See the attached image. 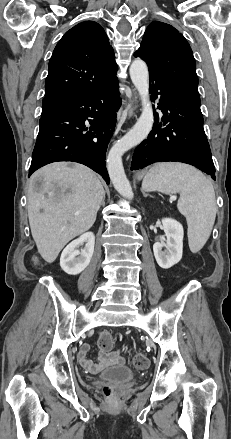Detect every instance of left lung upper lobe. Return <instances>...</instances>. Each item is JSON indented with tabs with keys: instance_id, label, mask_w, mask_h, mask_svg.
Returning a JSON list of instances; mask_svg holds the SVG:
<instances>
[{
	"instance_id": "1",
	"label": "left lung upper lobe",
	"mask_w": 231,
	"mask_h": 439,
	"mask_svg": "<svg viewBox=\"0 0 231 439\" xmlns=\"http://www.w3.org/2000/svg\"><path fill=\"white\" fill-rule=\"evenodd\" d=\"M134 56L147 63L149 72L200 107L195 59L190 45L177 29L163 22H152Z\"/></svg>"
}]
</instances>
